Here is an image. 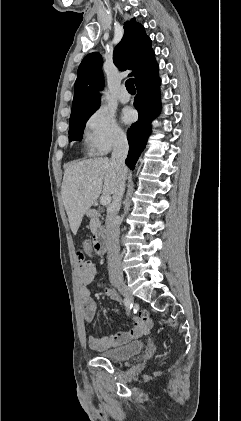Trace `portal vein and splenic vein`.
<instances>
[{
  "label": "portal vein and splenic vein",
  "mask_w": 241,
  "mask_h": 421,
  "mask_svg": "<svg viewBox=\"0 0 241 421\" xmlns=\"http://www.w3.org/2000/svg\"><path fill=\"white\" fill-rule=\"evenodd\" d=\"M111 202V196L110 195H104L100 199V204L103 206L109 205Z\"/></svg>",
  "instance_id": "obj_1"
}]
</instances>
